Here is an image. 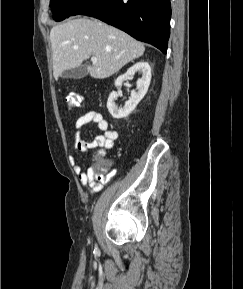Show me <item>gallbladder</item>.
Here are the masks:
<instances>
[{"instance_id": "bac80fb5", "label": "gallbladder", "mask_w": 243, "mask_h": 289, "mask_svg": "<svg viewBox=\"0 0 243 289\" xmlns=\"http://www.w3.org/2000/svg\"><path fill=\"white\" fill-rule=\"evenodd\" d=\"M88 74L86 66L65 70L61 73V78L81 79Z\"/></svg>"}]
</instances>
